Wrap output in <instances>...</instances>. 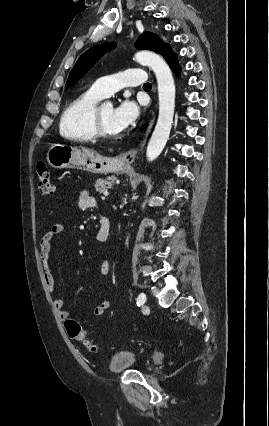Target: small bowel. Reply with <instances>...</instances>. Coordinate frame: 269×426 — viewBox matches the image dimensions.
Here are the masks:
<instances>
[{"mask_svg":"<svg viewBox=\"0 0 269 426\" xmlns=\"http://www.w3.org/2000/svg\"><path fill=\"white\" fill-rule=\"evenodd\" d=\"M78 205L81 209H89L96 206V201L86 191L82 192L79 198ZM65 227L62 223L53 224L49 230L40 239V259L44 272V280L49 291L54 290L55 280L50 266V254L52 248V241L54 238L61 236L64 233ZM111 266L109 259H105L102 263V272L106 274ZM54 307L62 320L70 317L69 311L65 309V300L61 296H56L53 299ZM110 308L108 300H102L98 303L93 310L96 317H101Z\"/></svg>","mask_w":269,"mask_h":426,"instance_id":"1","label":"small bowel"}]
</instances>
